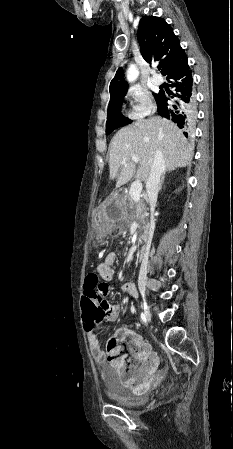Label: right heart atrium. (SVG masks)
<instances>
[{"label": "right heart atrium", "instance_id": "1", "mask_svg": "<svg viewBox=\"0 0 233 449\" xmlns=\"http://www.w3.org/2000/svg\"><path fill=\"white\" fill-rule=\"evenodd\" d=\"M126 96L131 104L129 116L133 120H142L155 111L154 101L145 89L138 86L130 87Z\"/></svg>", "mask_w": 233, "mask_h": 449}]
</instances>
